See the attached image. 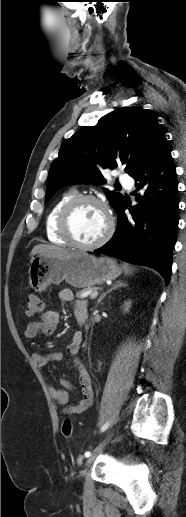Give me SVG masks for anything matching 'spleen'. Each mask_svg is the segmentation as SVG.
<instances>
[{
	"mask_svg": "<svg viewBox=\"0 0 186 517\" xmlns=\"http://www.w3.org/2000/svg\"><path fill=\"white\" fill-rule=\"evenodd\" d=\"M122 269L126 274H130L132 272V269L127 265H122Z\"/></svg>",
	"mask_w": 186,
	"mask_h": 517,
	"instance_id": "3e777b00",
	"label": "spleen"
}]
</instances>
